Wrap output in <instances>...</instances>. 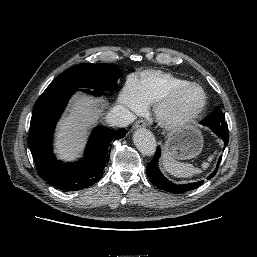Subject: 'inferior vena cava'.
Here are the masks:
<instances>
[{
  "label": "inferior vena cava",
  "instance_id": "602c4592",
  "mask_svg": "<svg viewBox=\"0 0 257 257\" xmlns=\"http://www.w3.org/2000/svg\"><path fill=\"white\" fill-rule=\"evenodd\" d=\"M135 119L136 116L121 105L114 106L107 115V122L117 127H126Z\"/></svg>",
  "mask_w": 257,
  "mask_h": 257
}]
</instances>
